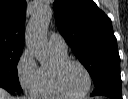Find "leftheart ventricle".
Masks as SVG:
<instances>
[{"instance_id": "1", "label": "left heart ventricle", "mask_w": 128, "mask_h": 99, "mask_svg": "<svg viewBox=\"0 0 128 99\" xmlns=\"http://www.w3.org/2000/svg\"><path fill=\"white\" fill-rule=\"evenodd\" d=\"M61 80L64 88L72 94L82 93L88 84L84 71L76 64H70L66 67Z\"/></svg>"}]
</instances>
